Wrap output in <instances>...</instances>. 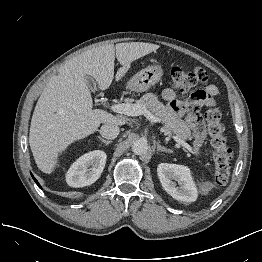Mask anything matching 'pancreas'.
<instances>
[{
  "instance_id": "cf45deb5",
  "label": "pancreas",
  "mask_w": 262,
  "mask_h": 262,
  "mask_svg": "<svg viewBox=\"0 0 262 262\" xmlns=\"http://www.w3.org/2000/svg\"><path fill=\"white\" fill-rule=\"evenodd\" d=\"M137 104L145 106L151 111L155 117L163 124V129L166 135L177 136L182 140H186L191 135V131L186 123L180 118L174 116L170 109L158 100V97L153 93L143 95Z\"/></svg>"
}]
</instances>
